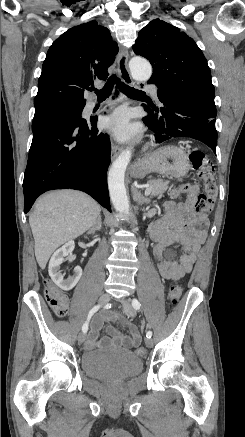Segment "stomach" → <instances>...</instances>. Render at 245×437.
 I'll list each match as a JSON object with an SVG mask.
<instances>
[{
    "label": "stomach",
    "mask_w": 245,
    "mask_h": 437,
    "mask_svg": "<svg viewBox=\"0 0 245 437\" xmlns=\"http://www.w3.org/2000/svg\"><path fill=\"white\" fill-rule=\"evenodd\" d=\"M189 169V158L185 151L177 146L168 145L158 148L136 162L130 174L133 178H143L152 172H158L170 178H179L185 176Z\"/></svg>",
    "instance_id": "stomach-1"
}]
</instances>
